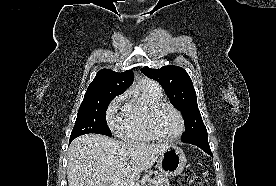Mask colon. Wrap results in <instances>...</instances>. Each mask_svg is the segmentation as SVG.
<instances>
[{
    "mask_svg": "<svg viewBox=\"0 0 276 186\" xmlns=\"http://www.w3.org/2000/svg\"><path fill=\"white\" fill-rule=\"evenodd\" d=\"M174 186H203L202 180L190 171L174 179Z\"/></svg>",
    "mask_w": 276,
    "mask_h": 186,
    "instance_id": "colon-1",
    "label": "colon"
}]
</instances>
